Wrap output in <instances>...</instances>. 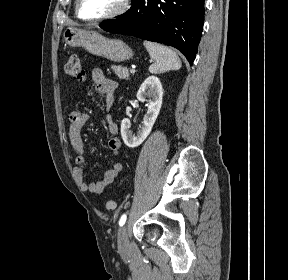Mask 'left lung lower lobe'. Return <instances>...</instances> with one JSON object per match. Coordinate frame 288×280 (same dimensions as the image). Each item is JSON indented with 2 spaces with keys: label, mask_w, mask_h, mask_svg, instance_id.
<instances>
[{
  "label": "left lung lower lobe",
  "mask_w": 288,
  "mask_h": 280,
  "mask_svg": "<svg viewBox=\"0 0 288 280\" xmlns=\"http://www.w3.org/2000/svg\"><path fill=\"white\" fill-rule=\"evenodd\" d=\"M205 0H135L121 17L104 21L106 31L177 48L192 63L202 35Z\"/></svg>",
  "instance_id": "left-lung-lower-lobe-1"
}]
</instances>
